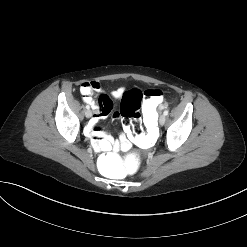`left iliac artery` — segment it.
<instances>
[{
  "mask_svg": "<svg viewBox=\"0 0 247 247\" xmlns=\"http://www.w3.org/2000/svg\"><path fill=\"white\" fill-rule=\"evenodd\" d=\"M168 113H169V111L165 110L163 114L166 116V115H168Z\"/></svg>",
  "mask_w": 247,
  "mask_h": 247,
  "instance_id": "obj_1",
  "label": "left iliac artery"
}]
</instances>
